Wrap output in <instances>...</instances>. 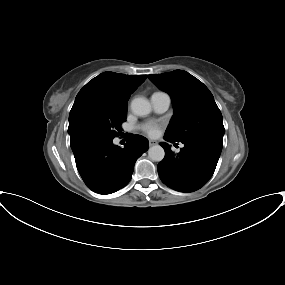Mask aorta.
<instances>
[{
    "label": "aorta",
    "instance_id": "aorta-1",
    "mask_svg": "<svg viewBox=\"0 0 285 285\" xmlns=\"http://www.w3.org/2000/svg\"><path fill=\"white\" fill-rule=\"evenodd\" d=\"M131 110L137 116H146L151 112V104L144 97L135 98L131 102ZM148 156L152 161L160 162L165 156V151L160 145L149 148Z\"/></svg>",
    "mask_w": 285,
    "mask_h": 285
}]
</instances>
